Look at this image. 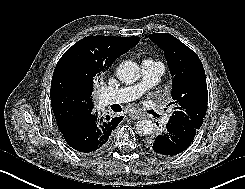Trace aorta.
Masks as SVG:
<instances>
[{
  "instance_id": "1",
  "label": "aorta",
  "mask_w": 245,
  "mask_h": 189,
  "mask_svg": "<svg viewBox=\"0 0 245 189\" xmlns=\"http://www.w3.org/2000/svg\"><path fill=\"white\" fill-rule=\"evenodd\" d=\"M117 77L123 83H134L140 78V67L133 61H124L117 68ZM154 124L151 120H139L135 124V132L141 136L152 133Z\"/></svg>"
}]
</instances>
